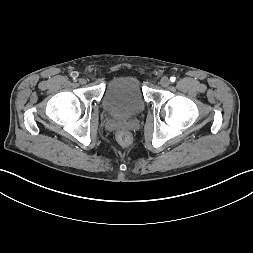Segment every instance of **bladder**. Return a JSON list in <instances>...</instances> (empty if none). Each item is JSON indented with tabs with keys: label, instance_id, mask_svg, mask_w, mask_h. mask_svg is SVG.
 <instances>
[{
	"label": "bladder",
	"instance_id": "1",
	"mask_svg": "<svg viewBox=\"0 0 253 253\" xmlns=\"http://www.w3.org/2000/svg\"><path fill=\"white\" fill-rule=\"evenodd\" d=\"M104 111L116 118H131L146 106L143 89L134 75H119L105 84L101 98Z\"/></svg>",
	"mask_w": 253,
	"mask_h": 253
}]
</instances>
